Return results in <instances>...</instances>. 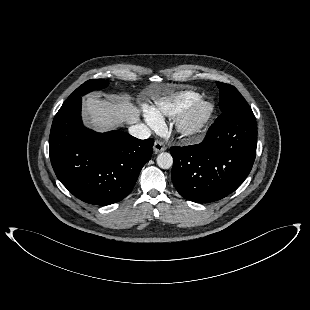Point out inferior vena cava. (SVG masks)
I'll use <instances>...</instances> for the list:
<instances>
[{
    "mask_svg": "<svg viewBox=\"0 0 310 310\" xmlns=\"http://www.w3.org/2000/svg\"><path fill=\"white\" fill-rule=\"evenodd\" d=\"M129 134L138 139H148L151 136L150 129L145 124H136L129 127Z\"/></svg>",
    "mask_w": 310,
    "mask_h": 310,
    "instance_id": "obj_1",
    "label": "inferior vena cava"
}]
</instances>
